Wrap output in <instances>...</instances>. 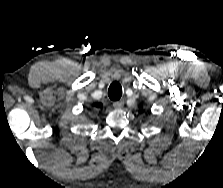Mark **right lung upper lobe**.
Returning <instances> with one entry per match:
<instances>
[{
    "instance_id": "obj_1",
    "label": "right lung upper lobe",
    "mask_w": 223,
    "mask_h": 188,
    "mask_svg": "<svg viewBox=\"0 0 223 188\" xmlns=\"http://www.w3.org/2000/svg\"><path fill=\"white\" fill-rule=\"evenodd\" d=\"M95 107H101L102 104H94Z\"/></svg>"
}]
</instances>
